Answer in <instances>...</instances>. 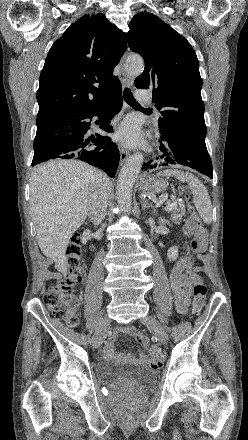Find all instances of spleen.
I'll return each mask as SVG.
<instances>
[{
    "label": "spleen",
    "mask_w": 248,
    "mask_h": 440,
    "mask_svg": "<svg viewBox=\"0 0 248 440\" xmlns=\"http://www.w3.org/2000/svg\"><path fill=\"white\" fill-rule=\"evenodd\" d=\"M158 175L172 176L181 182H187L193 195L194 205L201 219L206 224H210L212 222L211 199L206 187L197 177H195L192 173L183 172L176 169H166L160 171Z\"/></svg>",
    "instance_id": "1"
}]
</instances>
